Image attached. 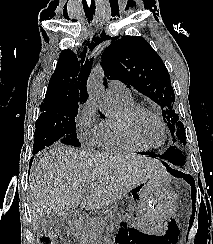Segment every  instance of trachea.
Wrapping results in <instances>:
<instances>
[{"label":"trachea","mask_w":213,"mask_h":244,"mask_svg":"<svg viewBox=\"0 0 213 244\" xmlns=\"http://www.w3.org/2000/svg\"><path fill=\"white\" fill-rule=\"evenodd\" d=\"M86 15H88L89 18H93V15L95 14V9H85Z\"/></svg>","instance_id":"3493384b"}]
</instances>
